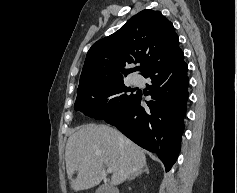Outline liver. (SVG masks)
Returning a JSON list of instances; mask_svg holds the SVG:
<instances>
[{"instance_id":"1","label":"liver","mask_w":237,"mask_h":193,"mask_svg":"<svg viewBox=\"0 0 237 193\" xmlns=\"http://www.w3.org/2000/svg\"><path fill=\"white\" fill-rule=\"evenodd\" d=\"M66 170L74 191L86 190L103 179L111 167V183L119 185L146 166L144 151L116 129L104 124H84L70 135L65 151ZM77 177L73 179V174Z\"/></svg>"}]
</instances>
